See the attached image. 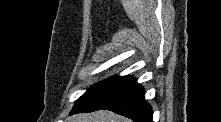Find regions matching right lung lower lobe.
Returning a JSON list of instances; mask_svg holds the SVG:
<instances>
[{
  "label": "right lung lower lobe",
  "instance_id": "obj_1",
  "mask_svg": "<svg viewBox=\"0 0 221 122\" xmlns=\"http://www.w3.org/2000/svg\"><path fill=\"white\" fill-rule=\"evenodd\" d=\"M102 109L131 118L134 122H153L152 109L144 99V89L131 76L92 98L77 102L71 114Z\"/></svg>",
  "mask_w": 221,
  "mask_h": 122
}]
</instances>
